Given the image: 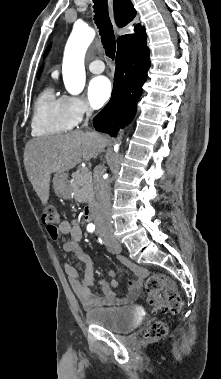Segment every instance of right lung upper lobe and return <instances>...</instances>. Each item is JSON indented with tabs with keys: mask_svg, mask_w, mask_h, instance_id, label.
Masks as SVG:
<instances>
[{
	"mask_svg": "<svg viewBox=\"0 0 221 379\" xmlns=\"http://www.w3.org/2000/svg\"><path fill=\"white\" fill-rule=\"evenodd\" d=\"M136 15V11L131 3L130 0H114V17L116 24L119 27H123L127 25L129 22H131ZM144 29V27H141L140 24H137L134 28L135 32ZM131 34L121 36L118 38L117 43H119L121 40L125 39ZM41 69L39 71L40 75ZM38 75V76H39Z\"/></svg>",
	"mask_w": 221,
	"mask_h": 379,
	"instance_id": "right-lung-upper-lobe-1",
	"label": "right lung upper lobe"
}]
</instances>
